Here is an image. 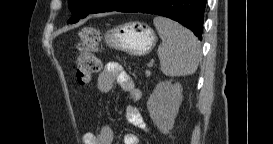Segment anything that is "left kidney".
I'll return each instance as SVG.
<instances>
[{
  "instance_id": "left-kidney-1",
  "label": "left kidney",
  "mask_w": 273,
  "mask_h": 144,
  "mask_svg": "<svg viewBox=\"0 0 273 144\" xmlns=\"http://www.w3.org/2000/svg\"><path fill=\"white\" fill-rule=\"evenodd\" d=\"M181 102L180 83L161 81L156 85L147 101V108L150 118L161 133L168 134L173 128Z\"/></svg>"
}]
</instances>
